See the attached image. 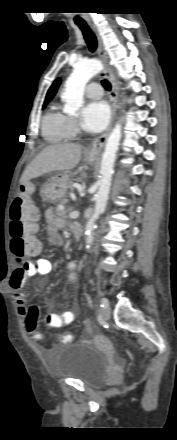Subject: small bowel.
Segmentation results:
<instances>
[{"instance_id": "small-bowel-1", "label": "small bowel", "mask_w": 177, "mask_h": 440, "mask_svg": "<svg viewBox=\"0 0 177 440\" xmlns=\"http://www.w3.org/2000/svg\"><path fill=\"white\" fill-rule=\"evenodd\" d=\"M45 220L47 223L46 233L49 243L53 246H61L64 243L63 237L59 231L65 226L63 218L58 217L53 208H48L45 212ZM39 249V248H38ZM68 280L75 285L78 281L76 274L77 265L74 261L68 263ZM52 264L48 259L39 258L34 261H29L14 269L9 279V286L13 290L14 301L18 306V313L25 317L28 314V307L26 305L27 297L23 292V288L28 278L35 275H46L50 273ZM75 319V312L65 311L60 314L49 313L47 322L52 327H61L72 323Z\"/></svg>"}]
</instances>
